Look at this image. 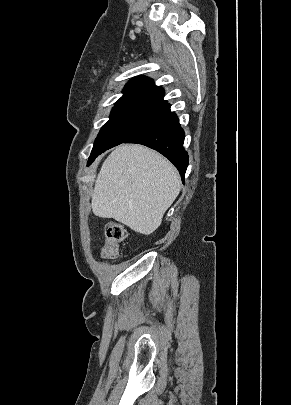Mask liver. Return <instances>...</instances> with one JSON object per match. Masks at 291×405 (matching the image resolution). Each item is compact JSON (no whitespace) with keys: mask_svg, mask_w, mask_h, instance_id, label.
I'll return each mask as SVG.
<instances>
[{"mask_svg":"<svg viewBox=\"0 0 291 405\" xmlns=\"http://www.w3.org/2000/svg\"><path fill=\"white\" fill-rule=\"evenodd\" d=\"M181 189L176 168L159 153L137 144L116 147L104 161L92 195L93 213L140 234L161 224Z\"/></svg>","mask_w":291,"mask_h":405,"instance_id":"obj_1","label":"liver"}]
</instances>
